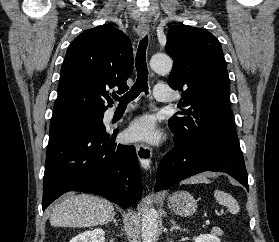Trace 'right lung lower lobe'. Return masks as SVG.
<instances>
[{"instance_id":"1","label":"right lung lower lobe","mask_w":279,"mask_h":242,"mask_svg":"<svg viewBox=\"0 0 279 242\" xmlns=\"http://www.w3.org/2000/svg\"><path fill=\"white\" fill-rule=\"evenodd\" d=\"M118 130L98 125L49 141L43 179L45 210L67 191L100 195L119 206L142 197L141 176L134 146L115 143Z\"/></svg>"}]
</instances>
